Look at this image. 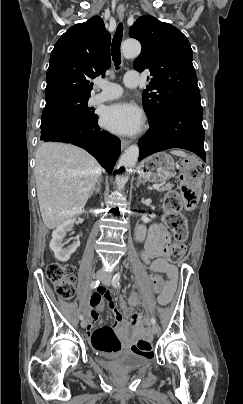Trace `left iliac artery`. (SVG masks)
<instances>
[{"instance_id":"44dca946","label":"left iliac artery","mask_w":243,"mask_h":404,"mask_svg":"<svg viewBox=\"0 0 243 404\" xmlns=\"http://www.w3.org/2000/svg\"><path fill=\"white\" fill-rule=\"evenodd\" d=\"M120 279H121V275H120V274H116V275L113 277L112 285H113L115 288H120ZM151 323H152L153 325L156 324V320H155L154 317L151 318Z\"/></svg>"}]
</instances>
